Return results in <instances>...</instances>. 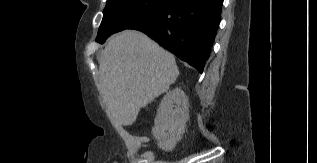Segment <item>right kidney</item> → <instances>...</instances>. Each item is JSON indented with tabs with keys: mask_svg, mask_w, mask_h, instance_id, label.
Instances as JSON below:
<instances>
[{
	"mask_svg": "<svg viewBox=\"0 0 317 163\" xmlns=\"http://www.w3.org/2000/svg\"><path fill=\"white\" fill-rule=\"evenodd\" d=\"M188 119L189 102L184 91L180 88L169 91L161 101L152 129L158 147L172 151L181 140Z\"/></svg>",
	"mask_w": 317,
	"mask_h": 163,
	"instance_id": "1",
	"label": "right kidney"
}]
</instances>
